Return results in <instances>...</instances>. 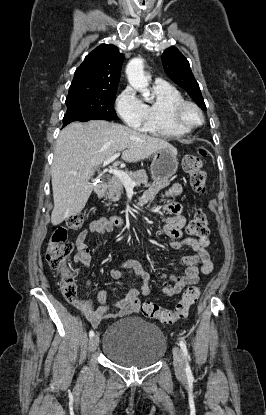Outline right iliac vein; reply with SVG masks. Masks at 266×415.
<instances>
[{"instance_id":"1","label":"right iliac vein","mask_w":266,"mask_h":415,"mask_svg":"<svg viewBox=\"0 0 266 415\" xmlns=\"http://www.w3.org/2000/svg\"><path fill=\"white\" fill-rule=\"evenodd\" d=\"M99 344V336L96 334L93 337H91L90 341H89V348L91 351H94Z\"/></svg>"}]
</instances>
